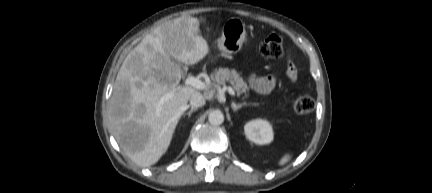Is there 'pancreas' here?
I'll return each mask as SVG.
<instances>
[{"mask_svg":"<svg viewBox=\"0 0 432 193\" xmlns=\"http://www.w3.org/2000/svg\"><path fill=\"white\" fill-rule=\"evenodd\" d=\"M211 79L221 86H224L227 81L230 82L238 96L243 93L247 94L249 90L247 83L234 69L219 68L211 75Z\"/></svg>","mask_w":432,"mask_h":193,"instance_id":"1","label":"pancreas"}]
</instances>
